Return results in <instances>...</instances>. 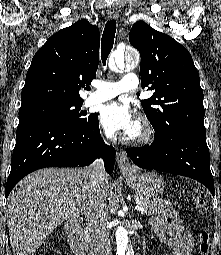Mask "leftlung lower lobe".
<instances>
[{
    "instance_id": "obj_1",
    "label": "left lung lower lobe",
    "mask_w": 221,
    "mask_h": 255,
    "mask_svg": "<svg viewBox=\"0 0 221 255\" xmlns=\"http://www.w3.org/2000/svg\"><path fill=\"white\" fill-rule=\"evenodd\" d=\"M127 155L140 168L193 178L214 195L206 133L181 129L169 136L155 135L150 146L128 149Z\"/></svg>"
}]
</instances>
